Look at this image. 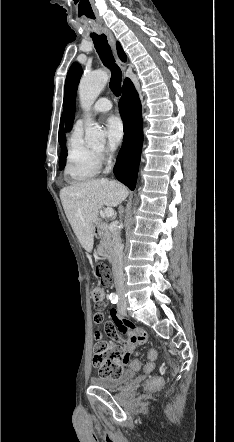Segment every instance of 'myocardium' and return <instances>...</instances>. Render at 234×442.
<instances>
[{
	"label": "myocardium",
	"instance_id": "obj_1",
	"mask_svg": "<svg viewBox=\"0 0 234 442\" xmlns=\"http://www.w3.org/2000/svg\"><path fill=\"white\" fill-rule=\"evenodd\" d=\"M96 153L99 155V152H98V151H96Z\"/></svg>",
	"mask_w": 234,
	"mask_h": 442
}]
</instances>
